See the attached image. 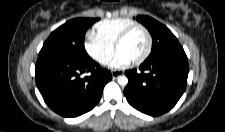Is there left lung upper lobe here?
Segmentation results:
<instances>
[{
  "mask_svg": "<svg viewBox=\"0 0 225 132\" xmlns=\"http://www.w3.org/2000/svg\"><path fill=\"white\" fill-rule=\"evenodd\" d=\"M136 19L149 30L153 40L151 54L145 61L185 54L178 39L166 26L146 15L137 16Z\"/></svg>",
  "mask_w": 225,
  "mask_h": 132,
  "instance_id": "left-lung-upper-lobe-1",
  "label": "left lung upper lobe"
}]
</instances>
